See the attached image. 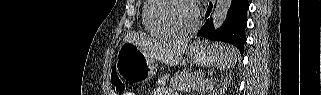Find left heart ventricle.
<instances>
[{"label": "left heart ventricle", "mask_w": 321, "mask_h": 95, "mask_svg": "<svg viewBox=\"0 0 321 95\" xmlns=\"http://www.w3.org/2000/svg\"><path fill=\"white\" fill-rule=\"evenodd\" d=\"M161 18L178 30H188L195 23L193 7L184 1H172L160 13Z\"/></svg>", "instance_id": "obj_1"}]
</instances>
